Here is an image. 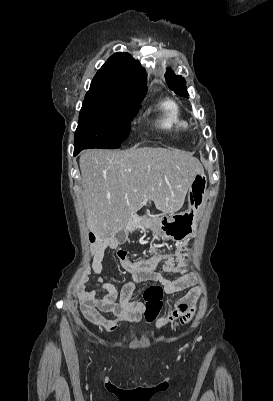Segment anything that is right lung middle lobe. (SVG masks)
<instances>
[{
  "label": "right lung middle lobe",
  "instance_id": "obj_1",
  "mask_svg": "<svg viewBox=\"0 0 273 401\" xmlns=\"http://www.w3.org/2000/svg\"><path fill=\"white\" fill-rule=\"evenodd\" d=\"M139 107L84 99L75 132L74 149H116L127 139Z\"/></svg>",
  "mask_w": 273,
  "mask_h": 401
}]
</instances>
